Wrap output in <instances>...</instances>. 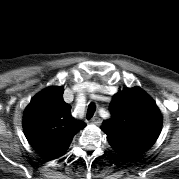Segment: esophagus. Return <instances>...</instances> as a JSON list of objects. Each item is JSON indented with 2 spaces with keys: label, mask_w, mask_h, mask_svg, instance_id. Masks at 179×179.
Returning a JSON list of instances; mask_svg holds the SVG:
<instances>
[{
  "label": "esophagus",
  "mask_w": 179,
  "mask_h": 179,
  "mask_svg": "<svg viewBox=\"0 0 179 179\" xmlns=\"http://www.w3.org/2000/svg\"><path fill=\"white\" fill-rule=\"evenodd\" d=\"M91 122L96 124V125H100L102 123V119L99 117V116H94L92 119H91Z\"/></svg>",
  "instance_id": "esophagus-1"
}]
</instances>
